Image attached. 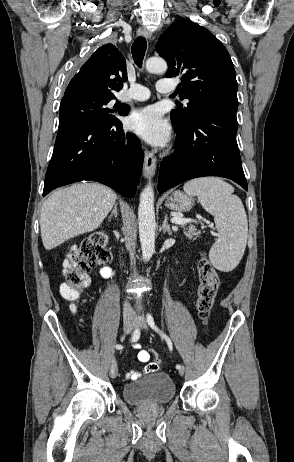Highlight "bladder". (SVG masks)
<instances>
[{
  "instance_id": "bladder-1",
  "label": "bladder",
  "mask_w": 294,
  "mask_h": 462,
  "mask_svg": "<svg viewBox=\"0 0 294 462\" xmlns=\"http://www.w3.org/2000/svg\"><path fill=\"white\" fill-rule=\"evenodd\" d=\"M124 399L135 406H159L169 403L176 394L172 378L156 372L123 387Z\"/></svg>"
}]
</instances>
